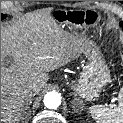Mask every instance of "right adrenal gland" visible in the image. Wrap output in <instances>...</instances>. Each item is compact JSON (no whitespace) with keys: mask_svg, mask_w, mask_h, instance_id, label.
Here are the masks:
<instances>
[{"mask_svg":"<svg viewBox=\"0 0 123 123\" xmlns=\"http://www.w3.org/2000/svg\"><path fill=\"white\" fill-rule=\"evenodd\" d=\"M32 103V101L30 100V101H28L26 104H25V111L26 110H29V105ZM29 113H30V110H29ZM28 113V114H29ZM27 123V122H26Z\"/></svg>","mask_w":123,"mask_h":123,"instance_id":"right-adrenal-gland-1","label":"right adrenal gland"}]
</instances>
